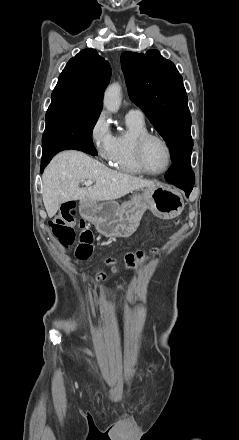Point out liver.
I'll return each instance as SVG.
<instances>
[{
    "label": "liver",
    "instance_id": "6515ba94",
    "mask_svg": "<svg viewBox=\"0 0 239 440\" xmlns=\"http://www.w3.org/2000/svg\"><path fill=\"white\" fill-rule=\"evenodd\" d=\"M85 180H92L96 184L90 188H80L79 184ZM42 182V198L48 218L55 216L63 202L84 200V198L96 202L118 200L130 192L142 188L154 190L160 186L150 180H141L129 174L110 170L98 160L74 150L57 154L44 170Z\"/></svg>",
    "mask_w": 239,
    "mask_h": 440
}]
</instances>
